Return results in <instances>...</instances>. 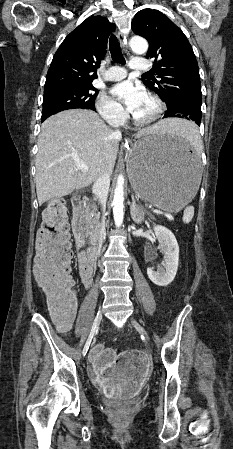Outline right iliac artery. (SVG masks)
Segmentation results:
<instances>
[{
    "label": "right iliac artery",
    "instance_id": "obj_1",
    "mask_svg": "<svg viewBox=\"0 0 233 449\" xmlns=\"http://www.w3.org/2000/svg\"><path fill=\"white\" fill-rule=\"evenodd\" d=\"M93 335H94V334H91V335H90V337H91V340H92V338H93ZM91 340H90V341H88V342L86 343V345L84 346V349H83V355H84V356L86 355V353H87V351H88V349H89V346H90Z\"/></svg>",
    "mask_w": 233,
    "mask_h": 449
}]
</instances>
